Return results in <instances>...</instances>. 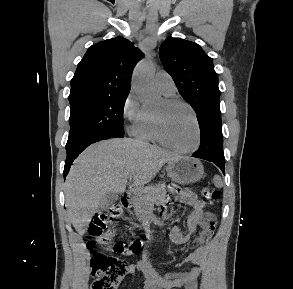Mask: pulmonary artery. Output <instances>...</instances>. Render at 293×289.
I'll list each match as a JSON object with an SVG mask.
<instances>
[{
    "mask_svg": "<svg viewBox=\"0 0 293 289\" xmlns=\"http://www.w3.org/2000/svg\"><path fill=\"white\" fill-rule=\"evenodd\" d=\"M155 85L164 95H171L175 91V84L167 72H158L155 76Z\"/></svg>",
    "mask_w": 293,
    "mask_h": 289,
    "instance_id": "pulmonary-artery-1",
    "label": "pulmonary artery"
}]
</instances>
